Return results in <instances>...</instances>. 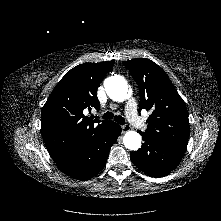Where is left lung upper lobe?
Here are the masks:
<instances>
[{"instance_id": "obj_1", "label": "left lung upper lobe", "mask_w": 221, "mask_h": 221, "mask_svg": "<svg viewBox=\"0 0 221 221\" xmlns=\"http://www.w3.org/2000/svg\"><path fill=\"white\" fill-rule=\"evenodd\" d=\"M123 64L139 87V111H151L145 132L151 138L186 148L190 125L185 102L171 80L156 63L149 59H132Z\"/></svg>"}]
</instances>
